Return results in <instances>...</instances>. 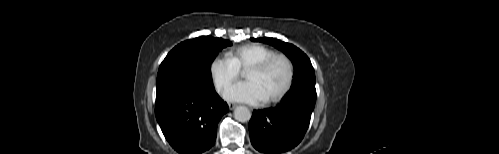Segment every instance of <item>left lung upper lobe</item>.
<instances>
[{
    "label": "left lung upper lobe",
    "instance_id": "left-lung-upper-lobe-1",
    "mask_svg": "<svg viewBox=\"0 0 499 154\" xmlns=\"http://www.w3.org/2000/svg\"><path fill=\"white\" fill-rule=\"evenodd\" d=\"M252 40L270 44L289 57L294 66L292 88L296 86L315 85V72L311 61L299 48L275 38L263 37Z\"/></svg>",
    "mask_w": 499,
    "mask_h": 154
}]
</instances>
